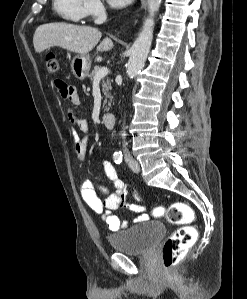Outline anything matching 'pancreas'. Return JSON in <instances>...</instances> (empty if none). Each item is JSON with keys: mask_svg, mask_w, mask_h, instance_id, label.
<instances>
[{"mask_svg": "<svg viewBox=\"0 0 247 299\" xmlns=\"http://www.w3.org/2000/svg\"><path fill=\"white\" fill-rule=\"evenodd\" d=\"M100 66H95L94 69L92 70V72L89 74V78L91 79V81L94 80L95 78V75L96 73L100 70ZM112 89L111 87V82L109 81V79L107 78L106 80L105 79H102V91L104 93V96H105V100H104V104H103V107L104 105L107 103V98H111V95H110V90ZM108 105L110 106V102H108ZM109 110V107H105L104 108V111H108Z\"/></svg>", "mask_w": 247, "mask_h": 299, "instance_id": "1", "label": "pancreas"}]
</instances>
